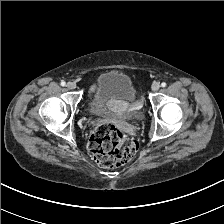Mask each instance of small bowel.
Instances as JSON below:
<instances>
[{
  "label": "small bowel",
  "instance_id": "obj_1",
  "mask_svg": "<svg viewBox=\"0 0 224 224\" xmlns=\"http://www.w3.org/2000/svg\"><path fill=\"white\" fill-rule=\"evenodd\" d=\"M93 91H94V87L91 88V92H93Z\"/></svg>",
  "mask_w": 224,
  "mask_h": 224
}]
</instances>
